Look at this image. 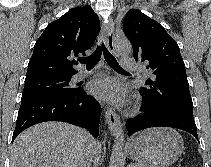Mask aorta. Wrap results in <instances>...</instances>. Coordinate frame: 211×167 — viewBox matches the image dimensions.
<instances>
[{
	"mask_svg": "<svg viewBox=\"0 0 211 167\" xmlns=\"http://www.w3.org/2000/svg\"><path fill=\"white\" fill-rule=\"evenodd\" d=\"M115 49L121 55L129 54L132 50L131 43L127 39H118L115 42ZM124 132L123 125L120 124L113 150L110 157L109 167H123L124 163Z\"/></svg>",
	"mask_w": 211,
	"mask_h": 167,
	"instance_id": "obj_1",
	"label": "aorta"
}]
</instances>
